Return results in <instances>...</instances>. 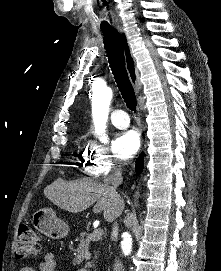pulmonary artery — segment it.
Listing matches in <instances>:
<instances>
[{"mask_svg":"<svg viewBox=\"0 0 221 271\" xmlns=\"http://www.w3.org/2000/svg\"><path fill=\"white\" fill-rule=\"evenodd\" d=\"M112 124L119 129H125L129 125L127 112H111Z\"/></svg>","mask_w":221,"mask_h":271,"instance_id":"e3ab8cb5","label":"pulmonary artery"}]
</instances>
